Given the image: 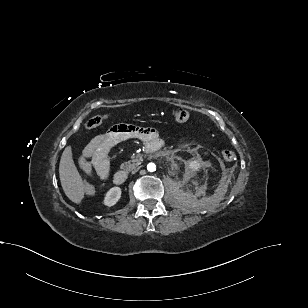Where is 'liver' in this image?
Returning a JSON list of instances; mask_svg holds the SVG:
<instances>
[{
  "label": "liver",
  "mask_w": 308,
  "mask_h": 308,
  "mask_svg": "<svg viewBox=\"0 0 308 308\" xmlns=\"http://www.w3.org/2000/svg\"><path fill=\"white\" fill-rule=\"evenodd\" d=\"M59 176L66 196L72 202L80 203L84 197L85 185L74 164L71 146H67L62 153Z\"/></svg>",
  "instance_id": "obj_1"
}]
</instances>
